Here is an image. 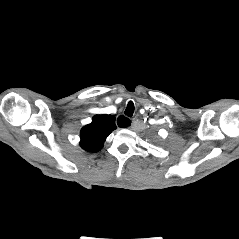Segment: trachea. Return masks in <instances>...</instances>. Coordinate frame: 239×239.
I'll return each instance as SVG.
<instances>
[{
  "label": "trachea",
  "mask_w": 239,
  "mask_h": 239,
  "mask_svg": "<svg viewBox=\"0 0 239 239\" xmlns=\"http://www.w3.org/2000/svg\"><path fill=\"white\" fill-rule=\"evenodd\" d=\"M125 115L128 117H132L134 113V103L132 101H129L125 110Z\"/></svg>",
  "instance_id": "3493384b"
}]
</instances>
